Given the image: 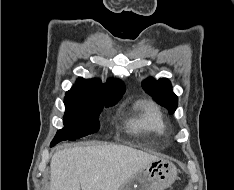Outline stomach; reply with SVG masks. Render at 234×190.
Segmentation results:
<instances>
[{
	"mask_svg": "<svg viewBox=\"0 0 234 190\" xmlns=\"http://www.w3.org/2000/svg\"><path fill=\"white\" fill-rule=\"evenodd\" d=\"M178 172L172 162L158 158L129 177L119 190H165L176 181Z\"/></svg>",
	"mask_w": 234,
	"mask_h": 190,
	"instance_id": "stomach-1",
	"label": "stomach"
}]
</instances>
